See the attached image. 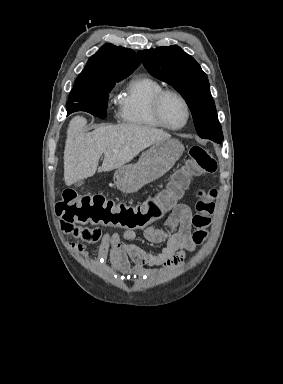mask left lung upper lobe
<instances>
[{
	"mask_svg": "<svg viewBox=\"0 0 283 384\" xmlns=\"http://www.w3.org/2000/svg\"><path fill=\"white\" fill-rule=\"evenodd\" d=\"M145 68L154 77L172 85L186 100L201 138L223 140L207 75L195 59L176 45L138 51Z\"/></svg>",
	"mask_w": 283,
	"mask_h": 384,
	"instance_id": "left-lung-upper-lobe-1",
	"label": "left lung upper lobe"
}]
</instances>
